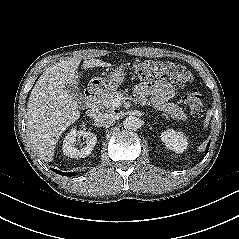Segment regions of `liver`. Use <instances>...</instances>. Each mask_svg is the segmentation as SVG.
I'll list each match as a JSON object with an SVG mask.
<instances>
[{
	"mask_svg": "<svg viewBox=\"0 0 239 239\" xmlns=\"http://www.w3.org/2000/svg\"><path fill=\"white\" fill-rule=\"evenodd\" d=\"M81 60L68 58L48 67L34 85L27 104L26 129L33 148L46 162L54 159L61 134L80 118L79 106L67 86L77 85ZM99 59L83 62V68L109 67Z\"/></svg>",
	"mask_w": 239,
	"mask_h": 239,
	"instance_id": "liver-1",
	"label": "liver"
}]
</instances>
